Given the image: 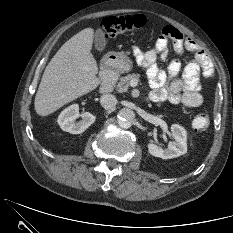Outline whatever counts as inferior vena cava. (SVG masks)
<instances>
[{
	"label": "inferior vena cava",
	"instance_id": "1",
	"mask_svg": "<svg viewBox=\"0 0 233 233\" xmlns=\"http://www.w3.org/2000/svg\"><path fill=\"white\" fill-rule=\"evenodd\" d=\"M100 103L105 109H111L116 106L117 99L112 94H104L101 96Z\"/></svg>",
	"mask_w": 233,
	"mask_h": 233
}]
</instances>
